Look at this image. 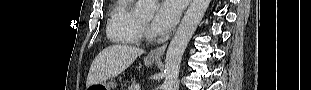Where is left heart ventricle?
<instances>
[{"label": "left heart ventricle", "instance_id": "left-heart-ventricle-1", "mask_svg": "<svg viewBox=\"0 0 311 90\" xmlns=\"http://www.w3.org/2000/svg\"><path fill=\"white\" fill-rule=\"evenodd\" d=\"M150 20H151V17H145V18H143V21H145L146 23H149Z\"/></svg>", "mask_w": 311, "mask_h": 90}]
</instances>
